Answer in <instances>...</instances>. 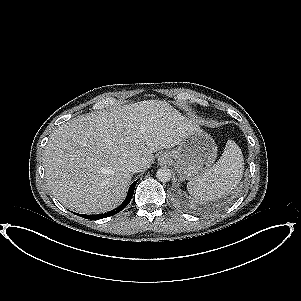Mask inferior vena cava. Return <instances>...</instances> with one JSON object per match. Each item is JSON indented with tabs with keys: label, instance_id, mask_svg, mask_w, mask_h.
<instances>
[{
	"label": "inferior vena cava",
	"instance_id": "1",
	"mask_svg": "<svg viewBox=\"0 0 301 301\" xmlns=\"http://www.w3.org/2000/svg\"><path fill=\"white\" fill-rule=\"evenodd\" d=\"M142 165L141 164H138V163H132L129 165L128 167V170L131 172V173H136V172H140L141 169H142Z\"/></svg>",
	"mask_w": 301,
	"mask_h": 301
}]
</instances>
